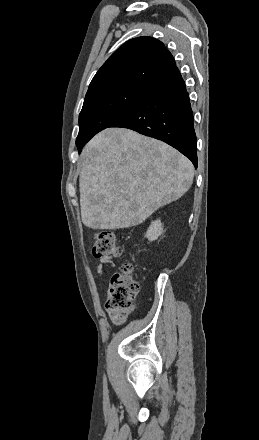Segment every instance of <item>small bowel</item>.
Listing matches in <instances>:
<instances>
[{"label":"small bowel","mask_w":259,"mask_h":440,"mask_svg":"<svg viewBox=\"0 0 259 440\" xmlns=\"http://www.w3.org/2000/svg\"><path fill=\"white\" fill-rule=\"evenodd\" d=\"M113 260L111 257H103L100 259V261L95 265V270L99 274H104L105 269L107 267H113Z\"/></svg>","instance_id":"c3829d8e"}]
</instances>
